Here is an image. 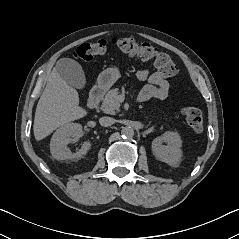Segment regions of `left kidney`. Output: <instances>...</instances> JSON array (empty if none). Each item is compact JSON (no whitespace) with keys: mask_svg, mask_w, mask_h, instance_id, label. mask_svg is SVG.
<instances>
[{"mask_svg":"<svg viewBox=\"0 0 239 239\" xmlns=\"http://www.w3.org/2000/svg\"><path fill=\"white\" fill-rule=\"evenodd\" d=\"M181 146L180 135L172 131H167L152 141V151L155 157L170 166L179 164L182 157Z\"/></svg>","mask_w":239,"mask_h":239,"instance_id":"5707ae66","label":"left kidney"}]
</instances>
